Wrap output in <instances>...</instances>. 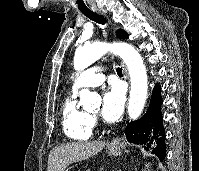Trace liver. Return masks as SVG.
<instances>
[{"label": "liver", "mask_w": 199, "mask_h": 171, "mask_svg": "<svg viewBox=\"0 0 199 171\" xmlns=\"http://www.w3.org/2000/svg\"><path fill=\"white\" fill-rule=\"evenodd\" d=\"M104 146L103 141L73 142L56 146L49 154L47 171H65L70 164L95 155Z\"/></svg>", "instance_id": "obj_1"}]
</instances>
